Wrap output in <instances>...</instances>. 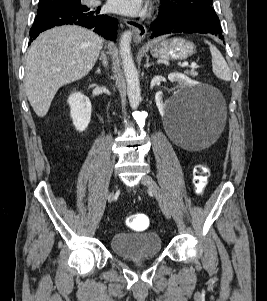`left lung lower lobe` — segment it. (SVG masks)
<instances>
[{
    "mask_svg": "<svg viewBox=\"0 0 267 301\" xmlns=\"http://www.w3.org/2000/svg\"><path fill=\"white\" fill-rule=\"evenodd\" d=\"M151 31L150 38L170 33H202L212 34L224 40L221 27H216L197 18L183 17L174 19L161 13H159L158 19L151 24Z\"/></svg>",
    "mask_w": 267,
    "mask_h": 301,
    "instance_id": "obj_1",
    "label": "left lung lower lobe"
}]
</instances>
